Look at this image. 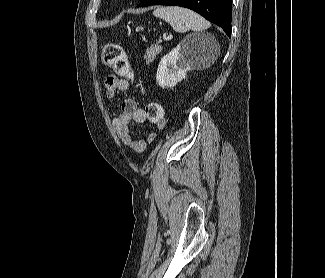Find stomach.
I'll use <instances>...</instances> for the list:
<instances>
[{"mask_svg":"<svg viewBox=\"0 0 325 278\" xmlns=\"http://www.w3.org/2000/svg\"><path fill=\"white\" fill-rule=\"evenodd\" d=\"M139 29L143 30V27H139Z\"/></svg>","mask_w":325,"mask_h":278,"instance_id":"obj_1","label":"stomach"}]
</instances>
